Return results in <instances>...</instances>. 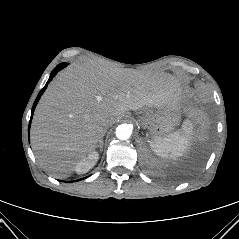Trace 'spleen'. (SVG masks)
Masks as SVG:
<instances>
[{
    "instance_id": "spleen-1",
    "label": "spleen",
    "mask_w": 239,
    "mask_h": 239,
    "mask_svg": "<svg viewBox=\"0 0 239 239\" xmlns=\"http://www.w3.org/2000/svg\"><path fill=\"white\" fill-rule=\"evenodd\" d=\"M192 133L193 123L187 119L180 130L170 133L166 137L152 139L149 144L156 155L175 159L188 150Z\"/></svg>"
}]
</instances>
